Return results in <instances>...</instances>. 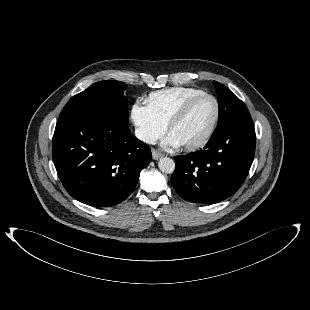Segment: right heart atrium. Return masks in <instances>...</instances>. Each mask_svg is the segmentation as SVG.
I'll list each match as a JSON object with an SVG mask.
<instances>
[{
    "mask_svg": "<svg viewBox=\"0 0 310 310\" xmlns=\"http://www.w3.org/2000/svg\"><path fill=\"white\" fill-rule=\"evenodd\" d=\"M131 120L137 138L147 144L155 142L167 129V125L156 118L146 104L132 106Z\"/></svg>",
    "mask_w": 310,
    "mask_h": 310,
    "instance_id": "obj_1",
    "label": "right heart atrium"
}]
</instances>
